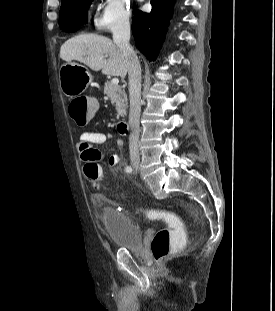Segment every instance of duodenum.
Instances as JSON below:
<instances>
[{
	"label": "duodenum",
	"mask_w": 275,
	"mask_h": 311,
	"mask_svg": "<svg viewBox=\"0 0 275 311\" xmlns=\"http://www.w3.org/2000/svg\"><path fill=\"white\" fill-rule=\"evenodd\" d=\"M117 130H118V132H119L120 134L126 135V134L129 133L130 128H129V125H128L127 122H125V121H119V122L117 123Z\"/></svg>",
	"instance_id": "410a0bca"
}]
</instances>
